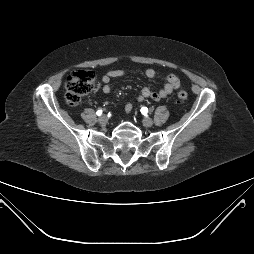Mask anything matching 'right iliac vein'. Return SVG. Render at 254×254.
<instances>
[{"label": "right iliac vein", "instance_id": "obj_1", "mask_svg": "<svg viewBox=\"0 0 254 254\" xmlns=\"http://www.w3.org/2000/svg\"><path fill=\"white\" fill-rule=\"evenodd\" d=\"M107 121H108V118H107L106 115H102V116H100L99 119H98V122H99L100 124H102V125L106 124Z\"/></svg>", "mask_w": 254, "mask_h": 254}]
</instances>
